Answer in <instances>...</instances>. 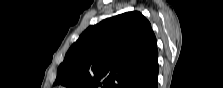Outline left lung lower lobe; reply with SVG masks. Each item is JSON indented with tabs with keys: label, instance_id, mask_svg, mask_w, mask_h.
I'll return each mask as SVG.
<instances>
[{
	"label": "left lung lower lobe",
	"instance_id": "0a47b994",
	"mask_svg": "<svg viewBox=\"0 0 223 88\" xmlns=\"http://www.w3.org/2000/svg\"><path fill=\"white\" fill-rule=\"evenodd\" d=\"M158 63L153 65L143 76L136 80L129 88H157Z\"/></svg>",
	"mask_w": 223,
	"mask_h": 88
}]
</instances>
